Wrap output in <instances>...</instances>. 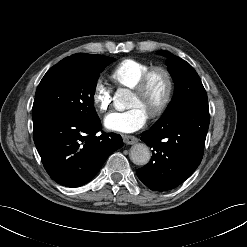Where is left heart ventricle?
I'll return each mask as SVG.
<instances>
[{"label": "left heart ventricle", "instance_id": "left-heart-ventricle-1", "mask_svg": "<svg viewBox=\"0 0 247 247\" xmlns=\"http://www.w3.org/2000/svg\"><path fill=\"white\" fill-rule=\"evenodd\" d=\"M166 91L165 77L157 73L155 74L148 85L146 92L143 95L133 92L129 106H140L149 115L161 103Z\"/></svg>", "mask_w": 247, "mask_h": 247}]
</instances>
